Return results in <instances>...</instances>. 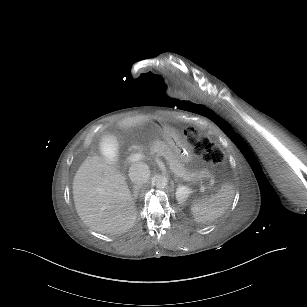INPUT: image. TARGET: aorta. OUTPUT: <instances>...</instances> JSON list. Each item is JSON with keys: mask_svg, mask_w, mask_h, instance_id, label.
Listing matches in <instances>:
<instances>
[{"mask_svg": "<svg viewBox=\"0 0 307 307\" xmlns=\"http://www.w3.org/2000/svg\"><path fill=\"white\" fill-rule=\"evenodd\" d=\"M152 185L162 190L168 185V178L165 175H154L152 178Z\"/></svg>", "mask_w": 307, "mask_h": 307, "instance_id": "762f6f07", "label": "aorta"}]
</instances>
